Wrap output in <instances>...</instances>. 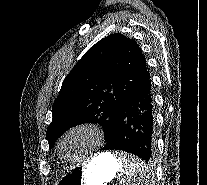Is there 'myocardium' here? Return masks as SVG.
<instances>
[{
  "label": "myocardium",
  "instance_id": "f54148a6",
  "mask_svg": "<svg viewBox=\"0 0 207 185\" xmlns=\"http://www.w3.org/2000/svg\"><path fill=\"white\" fill-rule=\"evenodd\" d=\"M79 130H84V131L89 132L92 135V137L94 138L95 144L84 155H82L76 159H73V160H67L66 158H64V156L62 154V144L69 135H71L73 132L79 131ZM104 138H105V133H104L103 129L98 124L93 123V122L77 123V124L71 126L70 128H68L63 133L61 138L59 139L58 145H57L58 156L60 157V159L63 162L68 163V164L80 163V162H82L90 157H93L97 154L98 146L103 141Z\"/></svg>",
  "mask_w": 207,
  "mask_h": 185
}]
</instances>
